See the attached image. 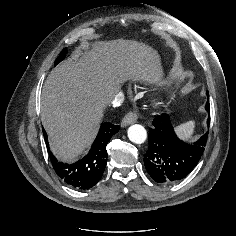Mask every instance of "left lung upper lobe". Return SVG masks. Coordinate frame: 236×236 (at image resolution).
<instances>
[{
	"instance_id": "5c2ea615",
	"label": "left lung upper lobe",
	"mask_w": 236,
	"mask_h": 236,
	"mask_svg": "<svg viewBox=\"0 0 236 236\" xmlns=\"http://www.w3.org/2000/svg\"><path fill=\"white\" fill-rule=\"evenodd\" d=\"M207 95H208V92H207ZM209 107H210L209 102H207L205 106L206 110L209 109Z\"/></svg>"
}]
</instances>
